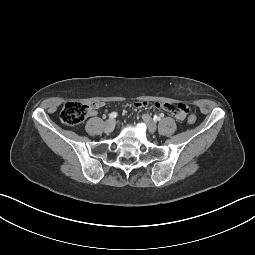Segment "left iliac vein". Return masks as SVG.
Listing matches in <instances>:
<instances>
[{
	"mask_svg": "<svg viewBox=\"0 0 255 255\" xmlns=\"http://www.w3.org/2000/svg\"><path fill=\"white\" fill-rule=\"evenodd\" d=\"M142 119L148 126V130L150 133H155L156 131V123L152 120V118L148 114H144Z\"/></svg>",
	"mask_w": 255,
	"mask_h": 255,
	"instance_id": "left-iliac-vein-1",
	"label": "left iliac vein"
}]
</instances>
